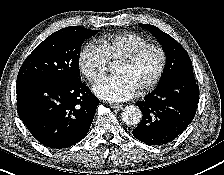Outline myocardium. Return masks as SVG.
I'll use <instances>...</instances> for the list:
<instances>
[{"label":"myocardium","instance_id":"f54148a6","mask_svg":"<svg viewBox=\"0 0 224 175\" xmlns=\"http://www.w3.org/2000/svg\"><path fill=\"white\" fill-rule=\"evenodd\" d=\"M149 50H156L158 52L159 58H160L159 66L157 68L156 73L152 77V79L149 82H147L146 84H144L143 86H141L137 89V91L141 92V93L150 91L161 80V78L164 74L166 65H167V54H166L165 49L159 44L147 43V44L137 48L136 50L131 52L129 55L123 57L122 59H120L118 61L119 63H123V64H126V65H133L141 58V56L144 53H146Z\"/></svg>","mask_w":224,"mask_h":175}]
</instances>
